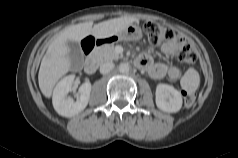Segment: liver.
<instances>
[{"instance_id":"1","label":"liver","mask_w":238,"mask_h":158,"mask_svg":"<svg viewBox=\"0 0 238 158\" xmlns=\"http://www.w3.org/2000/svg\"><path fill=\"white\" fill-rule=\"evenodd\" d=\"M136 20L134 17H121L94 26L92 21L79 23L64 29L55 36L42 58L38 73V83L42 94L50 98L55 84L71 70L72 63L66 45L67 41L79 42L89 35L105 39L119 33Z\"/></svg>"}]
</instances>
